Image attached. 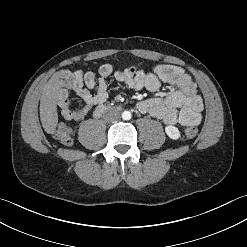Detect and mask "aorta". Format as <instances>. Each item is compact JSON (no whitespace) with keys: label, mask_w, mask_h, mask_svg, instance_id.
I'll return each mask as SVG.
<instances>
[{"label":"aorta","mask_w":247,"mask_h":247,"mask_svg":"<svg viewBox=\"0 0 247 247\" xmlns=\"http://www.w3.org/2000/svg\"><path fill=\"white\" fill-rule=\"evenodd\" d=\"M131 112L130 111H124L123 113H122V119L123 120H130L131 119Z\"/></svg>","instance_id":"obj_1"}]
</instances>
